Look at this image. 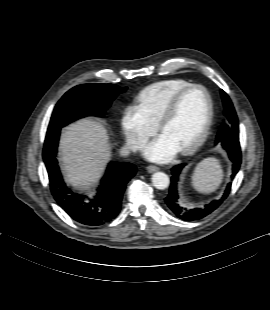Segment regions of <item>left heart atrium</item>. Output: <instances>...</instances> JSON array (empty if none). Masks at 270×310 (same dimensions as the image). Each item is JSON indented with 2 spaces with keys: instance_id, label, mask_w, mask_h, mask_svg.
<instances>
[{
  "instance_id": "obj_1",
  "label": "left heart atrium",
  "mask_w": 270,
  "mask_h": 310,
  "mask_svg": "<svg viewBox=\"0 0 270 310\" xmlns=\"http://www.w3.org/2000/svg\"><path fill=\"white\" fill-rule=\"evenodd\" d=\"M178 152V149L163 134L148 143L144 149L146 157L161 162L171 160Z\"/></svg>"
}]
</instances>
